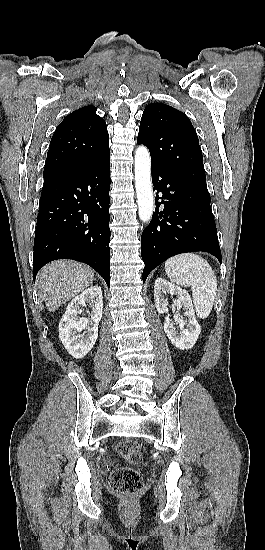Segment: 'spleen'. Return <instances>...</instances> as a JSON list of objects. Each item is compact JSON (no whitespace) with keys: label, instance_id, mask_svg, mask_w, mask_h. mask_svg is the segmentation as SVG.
Instances as JSON below:
<instances>
[{"label":"spleen","instance_id":"3e777b00","mask_svg":"<svg viewBox=\"0 0 265 550\" xmlns=\"http://www.w3.org/2000/svg\"><path fill=\"white\" fill-rule=\"evenodd\" d=\"M165 271L172 282L191 286L196 313L207 318L217 295V279L209 263L195 253H185L168 259Z\"/></svg>","mask_w":265,"mask_h":550}]
</instances>
